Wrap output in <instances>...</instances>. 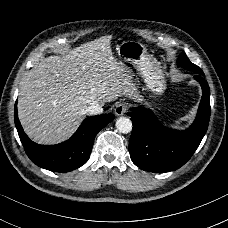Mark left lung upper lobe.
<instances>
[{"label": "left lung upper lobe", "instance_id": "5c2ea615", "mask_svg": "<svg viewBox=\"0 0 228 228\" xmlns=\"http://www.w3.org/2000/svg\"><path fill=\"white\" fill-rule=\"evenodd\" d=\"M177 64L184 69L193 71L199 75H204L203 71L197 65L190 62L185 53H181L179 55Z\"/></svg>", "mask_w": 228, "mask_h": 228}]
</instances>
